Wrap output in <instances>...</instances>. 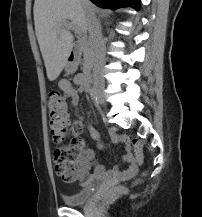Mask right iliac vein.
<instances>
[{
    "instance_id": "1",
    "label": "right iliac vein",
    "mask_w": 202,
    "mask_h": 217,
    "mask_svg": "<svg viewBox=\"0 0 202 217\" xmlns=\"http://www.w3.org/2000/svg\"><path fill=\"white\" fill-rule=\"evenodd\" d=\"M97 100L100 104H102L103 106L106 105V102H105V99H104V96L101 94V93H98L97 95Z\"/></svg>"
}]
</instances>
